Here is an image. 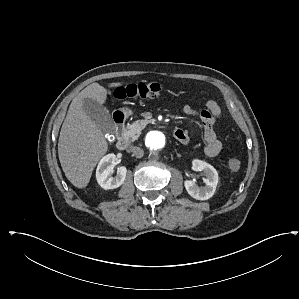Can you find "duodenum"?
I'll list each match as a JSON object with an SVG mask.
<instances>
[{
    "label": "duodenum",
    "instance_id": "obj_1",
    "mask_svg": "<svg viewBox=\"0 0 299 299\" xmlns=\"http://www.w3.org/2000/svg\"><path fill=\"white\" fill-rule=\"evenodd\" d=\"M113 122L115 127V132L118 135L117 141H116V147L119 150H125L129 146V142L122 136V131L125 126L126 122V115L122 111H115L113 113ZM175 138L179 139L180 136L178 132H174Z\"/></svg>",
    "mask_w": 299,
    "mask_h": 299
}]
</instances>
